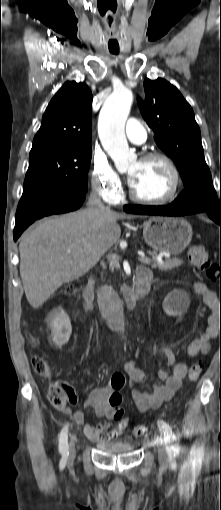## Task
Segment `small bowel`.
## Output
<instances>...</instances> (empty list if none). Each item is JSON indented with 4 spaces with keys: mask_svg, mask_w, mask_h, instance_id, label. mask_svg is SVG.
Masks as SVG:
<instances>
[{
    "mask_svg": "<svg viewBox=\"0 0 221 510\" xmlns=\"http://www.w3.org/2000/svg\"><path fill=\"white\" fill-rule=\"evenodd\" d=\"M193 287L195 292L202 297L206 306L211 310V314L207 318L205 331L188 345L186 351L188 358L208 353L210 340L216 337L221 324L219 313L220 300L217 295L201 281H195ZM160 351L165 356L166 364L172 368V371L170 373L165 370L159 371V377L163 384H154L151 390L141 391L134 387L135 384L145 382L147 377L145 372L136 366L133 359L127 360L124 364V371L131 385L132 398L138 410L143 413L150 409H157L163 402L170 400L181 387L183 379L188 374L187 363H176L175 354L170 347L162 346ZM113 393L114 391L110 386L96 387L87 393L85 406L93 409L98 417L106 419V421L97 425L85 423V415L82 411L71 412L67 408L62 411L70 415L76 424L84 425V433L90 440L103 441L105 438L110 441L118 435V432L111 428V420L115 419V411L118 408L110 403V397Z\"/></svg>",
    "mask_w": 221,
    "mask_h": 510,
    "instance_id": "c3829d8e",
    "label": "small bowel"
}]
</instances>
